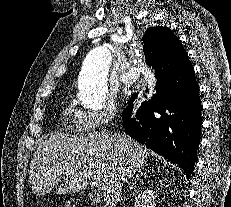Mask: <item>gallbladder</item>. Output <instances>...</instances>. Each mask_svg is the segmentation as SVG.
Masks as SVG:
<instances>
[{"label":"gallbladder","mask_w":231,"mask_h":207,"mask_svg":"<svg viewBox=\"0 0 231 207\" xmlns=\"http://www.w3.org/2000/svg\"><path fill=\"white\" fill-rule=\"evenodd\" d=\"M92 200L94 201V202H96L97 200L96 199H94V198H92Z\"/></svg>","instance_id":"gallbladder-1"}]
</instances>
